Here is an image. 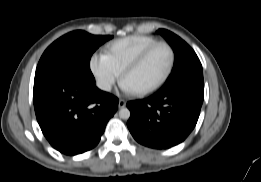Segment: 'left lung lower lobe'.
<instances>
[{
    "mask_svg": "<svg viewBox=\"0 0 261 182\" xmlns=\"http://www.w3.org/2000/svg\"><path fill=\"white\" fill-rule=\"evenodd\" d=\"M203 79L188 81L147 99L130 101L127 126L137 142L156 149L181 143L194 129L203 103Z\"/></svg>",
    "mask_w": 261,
    "mask_h": 182,
    "instance_id": "1",
    "label": "left lung lower lobe"
}]
</instances>
